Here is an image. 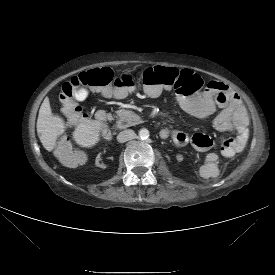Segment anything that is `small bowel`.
<instances>
[{
    "label": "small bowel",
    "mask_w": 275,
    "mask_h": 275,
    "mask_svg": "<svg viewBox=\"0 0 275 275\" xmlns=\"http://www.w3.org/2000/svg\"><path fill=\"white\" fill-rule=\"evenodd\" d=\"M180 106L196 118H207L213 115L212 125L220 132L232 135L235 143V152L245 147L249 137V119L240 97L229 86L222 82L211 81L206 90L198 95L186 94L179 97ZM167 136L178 144L191 142L196 151L203 154L199 167L201 176L212 180L220 176L221 155L214 149V141L205 133L188 135L179 130L165 129Z\"/></svg>",
    "instance_id": "1"
}]
</instances>
